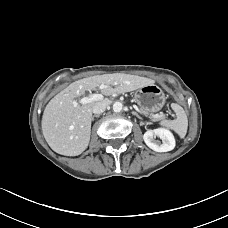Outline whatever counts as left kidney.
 I'll return each instance as SVG.
<instances>
[{
	"mask_svg": "<svg viewBox=\"0 0 228 228\" xmlns=\"http://www.w3.org/2000/svg\"><path fill=\"white\" fill-rule=\"evenodd\" d=\"M156 137H159L162 142L156 140ZM143 139L146 145L156 152H168L175 147L174 136L167 129L158 128L149 130L144 133Z\"/></svg>",
	"mask_w": 228,
	"mask_h": 228,
	"instance_id": "5707ae66",
	"label": "left kidney"
}]
</instances>
